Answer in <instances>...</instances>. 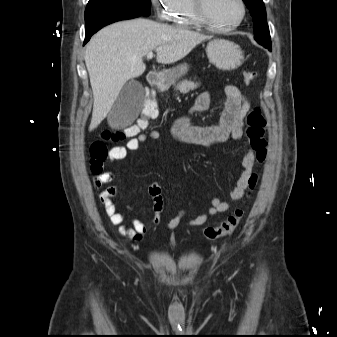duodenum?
I'll list each match as a JSON object with an SVG mask.
<instances>
[{
	"label": "duodenum",
	"instance_id": "obj_1",
	"mask_svg": "<svg viewBox=\"0 0 337 337\" xmlns=\"http://www.w3.org/2000/svg\"><path fill=\"white\" fill-rule=\"evenodd\" d=\"M147 80L151 87H159L162 84V75L159 72H150Z\"/></svg>",
	"mask_w": 337,
	"mask_h": 337
}]
</instances>
